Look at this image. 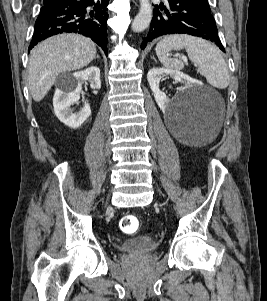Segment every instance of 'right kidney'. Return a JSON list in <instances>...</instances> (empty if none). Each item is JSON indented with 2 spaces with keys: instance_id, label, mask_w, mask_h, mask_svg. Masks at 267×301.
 Returning <instances> with one entry per match:
<instances>
[{
  "instance_id": "ca27d5eb",
  "label": "right kidney",
  "mask_w": 267,
  "mask_h": 301,
  "mask_svg": "<svg viewBox=\"0 0 267 301\" xmlns=\"http://www.w3.org/2000/svg\"><path fill=\"white\" fill-rule=\"evenodd\" d=\"M86 81L90 83L92 89H100V69L92 66L83 71L73 73L70 81L60 85L54 94V113L62 123L71 128L80 127L91 115L88 103H85L78 113H73L70 109L71 105L80 99L82 83Z\"/></svg>"
}]
</instances>
